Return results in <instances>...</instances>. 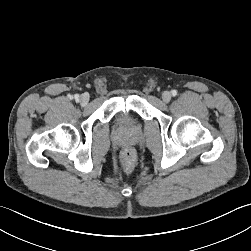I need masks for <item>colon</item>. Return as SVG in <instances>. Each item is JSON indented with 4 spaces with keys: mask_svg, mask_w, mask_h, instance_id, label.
I'll return each instance as SVG.
<instances>
[{
    "mask_svg": "<svg viewBox=\"0 0 251 251\" xmlns=\"http://www.w3.org/2000/svg\"><path fill=\"white\" fill-rule=\"evenodd\" d=\"M120 161L124 171L127 173L131 172L136 161L135 152L130 148L124 149L121 153Z\"/></svg>",
    "mask_w": 251,
    "mask_h": 251,
    "instance_id": "1",
    "label": "colon"
}]
</instances>
